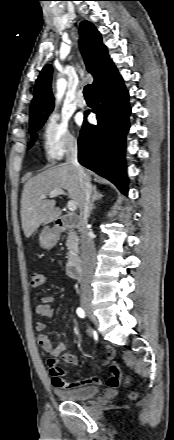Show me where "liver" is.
<instances>
[{
    "mask_svg": "<svg viewBox=\"0 0 174 440\" xmlns=\"http://www.w3.org/2000/svg\"><path fill=\"white\" fill-rule=\"evenodd\" d=\"M87 174L91 180V173ZM56 189L67 190L69 198L81 208L83 191L73 165L64 163L32 177L25 183L21 198L22 229L27 238L41 224L46 225L60 217L61 211L55 207L56 201L41 198V195H49Z\"/></svg>",
    "mask_w": 174,
    "mask_h": 440,
    "instance_id": "obj_1",
    "label": "liver"
}]
</instances>
